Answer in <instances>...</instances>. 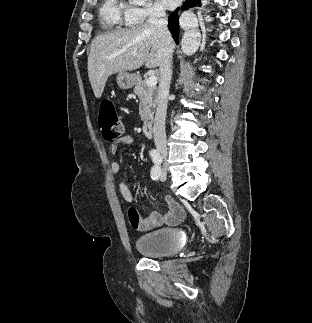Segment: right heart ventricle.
Here are the masks:
<instances>
[{
	"instance_id": "right-heart-ventricle-1",
	"label": "right heart ventricle",
	"mask_w": 312,
	"mask_h": 323,
	"mask_svg": "<svg viewBox=\"0 0 312 323\" xmlns=\"http://www.w3.org/2000/svg\"><path fill=\"white\" fill-rule=\"evenodd\" d=\"M117 1L103 0L97 9V20H105V23L110 25L112 29H116L118 25H126L125 16L133 14L131 9H124L123 5H115Z\"/></svg>"
}]
</instances>
